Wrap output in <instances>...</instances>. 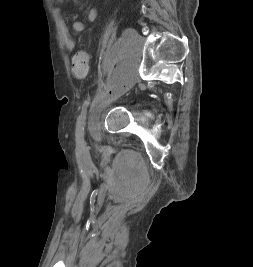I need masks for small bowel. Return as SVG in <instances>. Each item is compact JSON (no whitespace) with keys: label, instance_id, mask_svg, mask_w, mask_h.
I'll use <instances>...</instances> for the list:
<instances>
[{"label":"small bowel","instance_id":"c3829d8e","mask_svg":"<svg viewBox=\"0 0 253 267\" xmlns=\"http://www.w3.org/2000/svg\"><path fill=\"white\" fill-rule=\"evenodd\" d=\"M58 1H61V0H58ZM56 13L59 19V30H60L62 42L67 50L72 51L75 48V40L73 39L68 26L66 25L63 17L61 16L60 9H56ZM96 18H97V11L94 8H90L87 11L88 21L94 22ZM71 28L76 34H82L85 32L86 26L83 22L74 20L71 24Z\"/></svg>","mask_w":253,"mask_h":267}]
</instances>
